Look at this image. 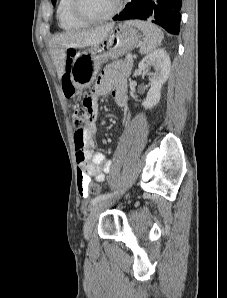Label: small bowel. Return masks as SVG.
Returning a JSON list of instances; mask_svg holds the SVG:
<instances>
[{
    "instance_id": "c3829d8e",
    "label": "small bowel",
    "mask_w": 227,
    "mask_h": 298,
    "mask_svg": "<svg viewBox=\"0 0 227 298\" xmlns=\"http://www.w3.org/2000/svg\"><path fill=\"white\" fill-rule=\"evenodd\" d=\"M126 82L125 79L117 73L106 70L98 77L94 87L91 98H83V108L88 115H95L90 118L89 126L84 131L85 150L84 159L77 157V171L78 173H85V178H78L79 192L84 198H88L89 194L81 189L82 186L89 184L91 179L97 182H103L106 174L111 170L112 161L103 153L95 151L94 137L97 133L96 116L99 115L98 103L102 95L110 93L115 103L123 107L126 103ZM127 122V118H124ZM75 141V137H74Z\"/></svg>"
}]
</instances>
